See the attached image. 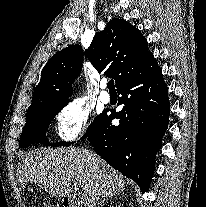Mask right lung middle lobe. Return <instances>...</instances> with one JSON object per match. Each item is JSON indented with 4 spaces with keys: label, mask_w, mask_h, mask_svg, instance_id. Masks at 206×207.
Here are the masks:
<instances>
[{
    "label": "right lung middle lobe",
    "mask_w": 206,
    "mask_h": 207,
    "mask_svg": "<svg viewBox=\"0 0 206 207\" xmlns=\"http://www.w3.org/2000/svg\"><path fill=\"white\" fill-rule=\"evenodd\" d=\"M67 102L53 103L42 105L30 112H27V122L24 127L19 146L25 148L35 142H40L45 145H50L45 139V133L53 117L67 105ZM105 112L97 116L94 122L89 126L83 138L89 136L95 129L98 121L102 118ZM69 142L56 143L54 146L70 145Z\"/></svg>",
    "instance_id": "1"
}]
</instances>
